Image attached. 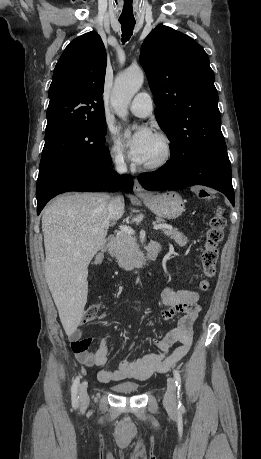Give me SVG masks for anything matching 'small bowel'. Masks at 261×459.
I'll return each mask as SVG.
<instances>
[{"label":"small bowel","mask_w":261,"mask_h":459,"mask_svg":"<svg viewBox=\"0 0 261 459\" xmlns=\"http://www.w3.org/2000/svg\"><path fill=\"white\" fill-rule=\"evenodd\" d=\"M103 254L96 255L94 263L103 262ZM162 309L160 317L169 321L179 316L176 327L154 341L157 349L145 356L133 359L124 358L117 369H102L98 373L101 382L119 381L127 378L146 379L154 371L168 370L179 362L189 351L193 340V325L201 307L198 304V293L192 289L174 290L166 288L161 294ZM67 336L77 360L87 366H104L108 362V346L104 339H98L95 350H89L91 338H82L81 330L72 327L67 330ZM176 342L180 345L169 356L168 349Z\"/></svg>","instance_id":"small-bowel-1"}]
</instances>
